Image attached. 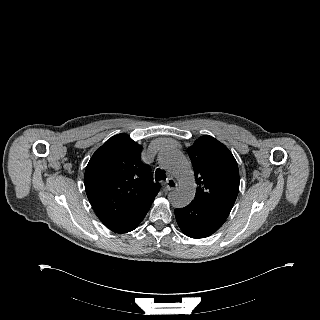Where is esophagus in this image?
<instances>
[{
  "label": "esophagus",
  "instance_id": "obj_1",
  "mask_svg": "<svg viewBox=\"0 0 320 320\" xmlns=\"http://www.w3.org/2000/svg\"><path fill=\"white\" fill-rule=\"evenodd\" d=\"M177 187V182L173 178L167 179L164 184V188L166 191L174 190Z\"/></svg>",
  "mask_w": 320,
  "mask_h": 320
}]
</instances>
